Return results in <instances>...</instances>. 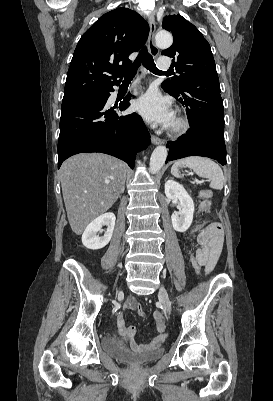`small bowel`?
I'll list each match as a JSON object with an SVG mask.
<instances>
[{"instance_id":"small-bowel-1","label":"small bowel","mask_w":273,"mask_h":401,"mask_svg":"<svg viewBox=\"0 0 273 401\" xmlns=\"http://www.w3.org/2000/svg\"><path fill=\"white\" fill-rule=\"evenodd\" d=\"M206 228H210V225H208ZM198 243L200 245V248L196 252V258L200 260L202 266L205 268L206 273H211L215 267V264L217 262V259L219 257V254L222 249V241H201L200 236H198ZM135 301L136 298L134 297H128L124 308L130 309V310H135ZM154 317L156 319V330L158 332V335L153 338L150 342L147 343H137L134 341V336L136 334V327L133 325H126L125 319L120 313L117 317V326L119 330L123 334L122 339H118V342L121 345H124L126 348H128L131 351H140L143 349H148V350H155L159 347L160 342L166 340L167 338V329L165 327H159L158 325H163L164 324V319L161 318V312L160 311H155L154 312Z\"/></svg>"}]
</instances>
